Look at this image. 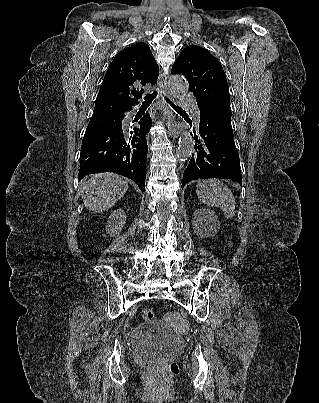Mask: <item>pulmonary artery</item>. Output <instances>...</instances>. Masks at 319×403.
<instances>
[{
	"label": "pulmonary artery",
	"mask_w": 319,
	"mask_h": 403,
	"mask_svg": "<svg viewBox=\"0 0 319 403\" xmlns=\"http://www.w3.org/2000/svg\"><path fill=\"white\" fill-rule=\"evenodd\" d=\"M181 100H182L181 105L183 107H194L195 106V103H194V101L192 100V97L189 94H183L182 97H181ZM195 121L197 123L200 122V113L196 108H195Z\"/></svg>",
	"instance_id": "1"
}]
</instances>
